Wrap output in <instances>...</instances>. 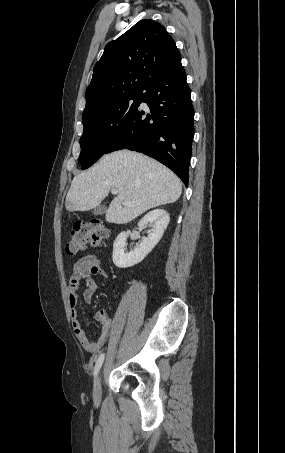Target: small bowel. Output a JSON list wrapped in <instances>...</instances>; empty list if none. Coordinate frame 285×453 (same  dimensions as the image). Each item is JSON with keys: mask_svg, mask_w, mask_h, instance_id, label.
Returning a JSON list of instances; mask_svg holds the SVG:
<instances>
[{"mask_svg": "<svg viewBox=\"0 0 285 453\" xmlns=\"http://www.w3.org/2000/svg\"><path fill=\"white\" fill-rule=\"evenodd\" d=\"M96 276L103 279L108 278V274L101 267L99 259L95 255H87L77 260L72 268V273L68 281V293L70 314L72 319V327L74 334L81 346L91 353H96L107 341L112 329L113 321L109 317L106 310H99L93 316V319L100 322L102 325L101 332L97 339L91 340L82 327V323L78 317V302L82 299L89 304L92 301L94 294L100 288ZM84 279L86 289L79 292L80 281Z\"/></svg>", "mask_w": 285, "mask_h": 453, "instance_id": "small-bowel-1", "label": "small bowel"}]
</instances>
